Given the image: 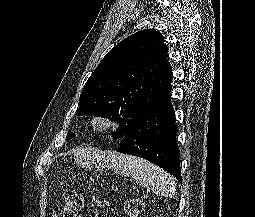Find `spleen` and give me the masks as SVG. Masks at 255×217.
<instances>
[{
    "label": "spleen",
    "mask_w": 255,
    "mask_h": 217,
    "mask_svg": "<svg viewBox=\"0 0 255 217\" xmlns=\"http://www.w3.org/2000/svg\"><path fill=\"white\" fill-rule=\"evenodd\" d=\"M108 158H110V167L116 173L131 175L137 184L159 197L171 198L175 195L174 178L158 166L134 156L111 154Z\"/></svg>",
    "instance_id": "obj_1"
}]
</instances>
